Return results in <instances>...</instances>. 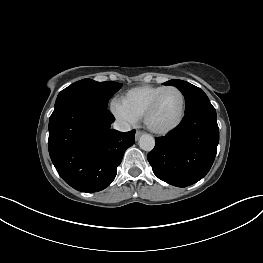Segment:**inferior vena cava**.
<instances>
[{"label": "inferior vena cava", "instance_id": "obj_1", "mask_svg": "<svg viewBox=\"0 0 263 263\" xmlns=\"http://www.w3.org/2000/svg\"><path fill=\"white\" fill-rule=\"evenodd\" d=\"M113 128L121 132H127L131 130L130 125L127 122L121 120L115 121L113 124Z\"/></svg>", "mask_w": 263, "mask_h": 263}]
</instances>
